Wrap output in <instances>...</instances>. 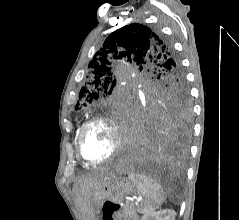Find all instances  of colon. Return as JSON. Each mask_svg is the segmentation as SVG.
Masks as SVG:
<instances>
[{
  "label": "colon",
  "instance_id": "1",
  "mask_svg": "<svg viewBox=\"0 0 239 220\" xmlns=\"http://www.w3.org/2000/svg\"><path fill=\"white\" fill-rule=\"evenodd\" d=\"M120 205L112 201H106L102 207L104 220H117L116 213Z\"/></svg>",
  "mask_w": 239,
  "mask_h": 220
}]
</instances>
